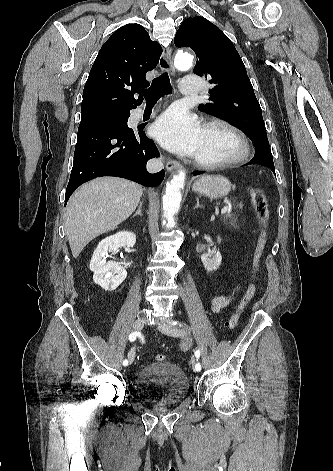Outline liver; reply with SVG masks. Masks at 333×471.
<instances>
[{"label": "liver", "mask_w": 333, "mask_h": 471, "mask_svg": "<svg viewBox=\"0 0 333 471\" xmlns=\"http://www.w3.org/2000/svg\"><path fill=\"white\" fill-rule=\"evenodd\" d=\"M143 189L137 183L100 177L74 192L68 201L65 232L74 258L97 236L125 221L136 209Z\"/></svg>", "instance_id": "liver-1"}]
</instances>
